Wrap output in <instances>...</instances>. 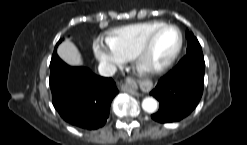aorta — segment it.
Masks as SVG:
<instances>
[{
    "instance_id": "aorta-1",
    "label": "aorta",
    "mask_w": 247,
    "mask_h": 145,
    "mask_svg": "<svg viewBox=\"0 0 247 145\" xmlns=\"http://www.w3.org/2000/svg\"><path fill=\"white\" fill-rule=\"evenodd\" d=\"M142 108L145 112L154 113L158 108V102L152 97H146L142 101Z\"/></svg>"
}]
</instances>
